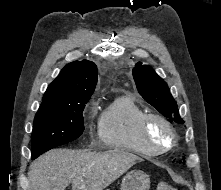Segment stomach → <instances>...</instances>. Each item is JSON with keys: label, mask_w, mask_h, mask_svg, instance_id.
<instances>
[{"label": "stomach", "mask_w": 221, "mask_h": 190, "mask_svg": "<svg viewBox=\"0 0 221 190\" xmlns=\"http://www.w3.org/2000/svg\"><path fill=\"white\" fill-rule=\"evenodd\" d=\"M149 176L141 170H133L122 179L120 190H149Z\"/></svg>", "instance_id": "1"}]
</instances>
